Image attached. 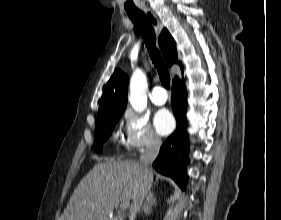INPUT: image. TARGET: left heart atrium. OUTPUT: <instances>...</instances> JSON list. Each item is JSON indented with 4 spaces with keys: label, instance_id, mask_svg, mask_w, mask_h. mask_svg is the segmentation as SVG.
<instances>
[{
    "label": "left heart atrium",
    "instance_id": "obj_1",
    "mask_svg": "<svg viewBox=\"0 0 281 220\" xmlns=\"http://www.w3.org/2000/svg\"><path fill=\"white\" fill-rule=\"evenodd\" d=\"M154 127L158 134L165 136L172 132L175 127V121L167 109L157 111L154 116Z\"/></svg>",
    "mask_w": 281,
    "mask_h": 220
}]
</instances>
